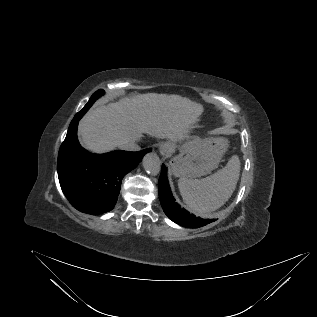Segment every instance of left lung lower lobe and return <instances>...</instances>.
<instances>
[{
    "mask_svg": "<svg viewBox=\"0 0 317 317\" xmlns=\"http://www.w3.org/2000/svg\"><path fill=\"white\" fill-rule=\"evenodd\" d=\"M159 197L162 208L165 214L175 223L189 227L199 228L205 226L208 223L215 221V219L204 220L196 218L195 215H191L188 211L181 208L173 199L171 189L167 179V171L165 165H162L161 175L158 183Z\"/></svg>",
    "mask_w": 317,
    "mask_h": 317,
    "instance_id": "left-lung-lower-lobe-1",
    "label": "left lung lower lobe"
}]
</instances>
